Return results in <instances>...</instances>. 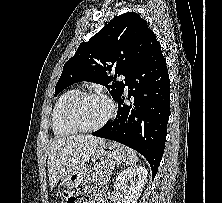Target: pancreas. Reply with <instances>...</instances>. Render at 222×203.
Here are the masks:
<instances>
[{"label":"pancreas","instance_id":"obj_1","mask_svg":"<svg viewBox=\"0 0 222 203\" xmlns=\"http://www.w3.org/2000/svg\"><path fill=\"white\" fill-rule=\"evenodd\" d=\"M111 163L112 161L104 160L96 164L94 168L88 173L85 182L91 183L108 180L113 171Z\"/></svg>","mask_w":222,"mask_h":203}]
</instances>
